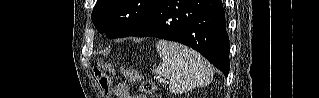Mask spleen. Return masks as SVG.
Instances as JSON below:
<instances>
[{
	"label": "spleen",
	"mask_w": 319,
	"mask_h": 98,
	"mask_svg": "<svg viewBox=\"0 0 319 98\" xmlns=\"http://www.w3.org/2000/svg\"><path fill=\"white\" fill-rule=\"evenodd\" d=\"M156 49L161 62L153 72L168 83L171 93L179 94L210 84L212 67L195 50L165 40H159Z\"/></svg>",
	"instance_id": "1"
}]
</instances>
